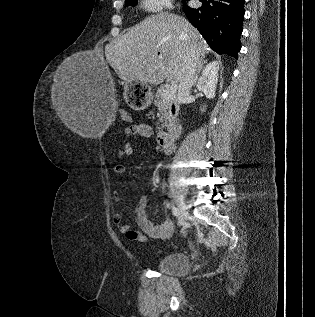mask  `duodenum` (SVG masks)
<instances>
[{
	"instance_id": "1",
	"label": "duodenum",
	"mask_w": 315,
	"mask_h": 317,
	"mask_svg": "<svg viewBox=\"0 0 315 317\" xmlns=\"http://www.w3.org/2000/svg\"><path fill=\"white\" fill-rule=\"evenodd\" d=\"M172 111L175 112L174 102L172 103ZM180 131V126L175 124L169 131H161L158 134V143L165 153H172L174 151L175 141Z\"/></svg>"
}]
</instances>
